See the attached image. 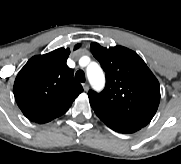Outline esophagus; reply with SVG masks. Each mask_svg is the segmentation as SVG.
I'll list each match as a JSON object with an SVG mask.
<instances>
[{
  "label": "esophagus",
  "mask_w": 181,
  "mask_h": 164,
  "mask_svg": "<svg viewBox=\"0 0 181 164\" xmlns=\"http://www.w3.org/2000/svg\"><path fill=\"white\" fill-rule=\"evenodd\" d=\"M82 86H83L84 91H88V89H89L88 83H83Z\"/></svg>",
  "instance_id": "34e87169"
}]
</instances>
